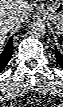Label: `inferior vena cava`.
<instances>
[{
  "label": "inferior vena cava",
  "mask_w": 63,
  "mask_h": 107,
  "mask_svg": "<svg viewBox=\"0 0 63 107\" xmlns=\"http://www.w3.org/2000/svg\"><path fill=\"white\" fill-rule=\"evenodd\" d=\"M16 22H17V18L13 15L7 18H1V21H0L2 26L8 27V28H13Z\"/></svg>",
  "instance_id": "602c4592"
}]
</instances>
